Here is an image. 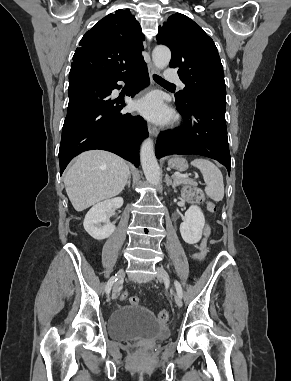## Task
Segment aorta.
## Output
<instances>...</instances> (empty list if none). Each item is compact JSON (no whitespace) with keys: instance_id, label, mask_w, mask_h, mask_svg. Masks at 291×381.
<instances>
[{"instance_id":"1","label":"aorta","mask_w":291,"mask_h":381,"mask_svg":"<svg viewBox=\"0 0 291 381\" xmlns=\"http://www.w3.org/2000/svg\"><path fill=\"white\" fill-rule=\"evenodd\" d=\"M154 65L158 69H164L169 65L171 59L170 49L166 46H156L152 53ZM140 160L147 181L157 185L160 181V168L154 153L153 141L148 138L141 146Z\"/></svg>"}]
</instances>
